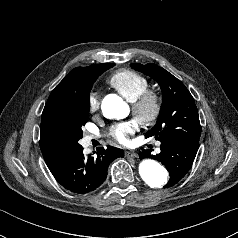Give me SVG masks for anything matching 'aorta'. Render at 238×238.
Instances as JSON below:
<instances>
[{
    "mask_svg": "<svg viewBox=\"0 0 238 238\" xmlns=\"http://www.w3.org/2000/svg\"><path fill=\"white\" fill-rule=\"evenodd\" d=\"M102 112L107 118H125L129 113L128 106L118 96H107L102 102ZM142 180L151 188H162L168 181L167 170L157 161L144 159L139 165Z\"/></svg>",
    "mask_w": 238,
    "mask_h": 238,
    "instance_id": "obj_1",
    "label": "aorta"
}]
</instances>
